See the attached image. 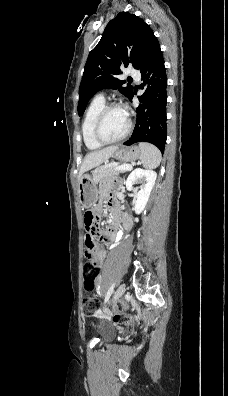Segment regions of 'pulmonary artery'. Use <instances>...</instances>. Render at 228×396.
Returning a JSON list of instances; mask_svg holds the SVG:
<instances>
[{"label":"pulmonary artery","mask_w":228,"mask_h":396,"mask_svg":"<svg viewBox=\"0 0 228 396\" xmlns=\"http://www.w3.org/2000/svg\"><path fill=\"white\" fill-rule=\"evenodd\" d=\"M129 73L133 78H136V79L140 78V72L136 69L131 70ZM98 97L103 98V93L98 94Z\"/></svg>","instance_id":"obj_1"}]
</instances>
